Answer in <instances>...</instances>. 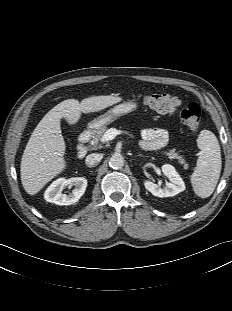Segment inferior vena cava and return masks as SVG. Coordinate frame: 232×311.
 <instances>
[{"label":"inferior vena cava","mask_w":232,"mask_h":311,"mask_svg":"<svg viewBox=\"0 0 232 311\" xmlns=\"http://www.w3.org/2000/svg\"><path fill=\"white\" fill-rule=\"evenodd\" d=\"M102 156L100 154H89L86 159H85V163L88 167H95L96 165H98V163L101 161Z\"/></svg>","instance_id":"1"}]
</instances>
